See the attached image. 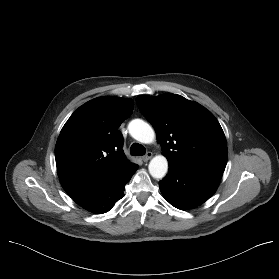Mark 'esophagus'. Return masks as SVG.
Instances as JSON below:
<instances>
[{
	"instance_id": "esophagus-1",
	"label": "esophagus",
	"mask_w": 279,
	"mask_h": 279,
	"mask_svg": "<svg viewBox=\"0 0 279 279\" xmlns=\"http://www.w3.org/2000/svg\"><path fill=\"white\" fill-rule=\"evenodd\" d=\"M153 157V153L152 152H147L146 155L143 156V161L147 162L149 161L151 158Z\"/></svg>"
}]
</instances>
